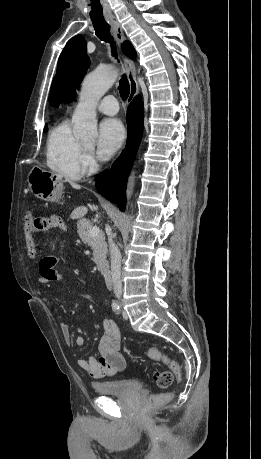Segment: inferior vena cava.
Returning a JSON list of instances; mask_svg holds the SVG:
<instances>
[{"label": "inferior vena cava", "mask_w": 261, "mask_h": 459, "mask_svg": "<svg viewBox=\"0 0 261 459\" xmlns=\"http://www.w3.org/2000/svg\"><path fill=\"white\" fill-rule=\"evenodd\" d=\"M108 244L111 256V276L114 287V293L117 298H120L122 294L121 254L111 236H108Z\"/></svg>", "instance_id": "obj_1"}]
</instances>
